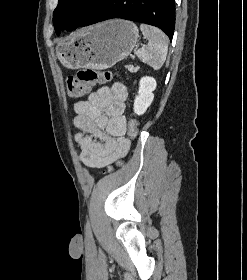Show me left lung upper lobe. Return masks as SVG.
I'll use <instances>...</instances> for the list:
<instances>
[{
  "label": "left lung upper lobe",
  "mask_w": 247,
  "mask_h": 280,
  "mask_svg": "<svg viewBox=\"0 0 247 280\" xmlns=\"http://www.w3.org/2000/svg\"><path fill=\"white\" fill-rule=\"evenodd\" d=\"M105 0H58L53 13V23L57 34L67 27L73 30L80 26L86 17Z\"/></svg>",
  "instance_id": "left-lung-upper-lobe-1"
}]
</instances>
